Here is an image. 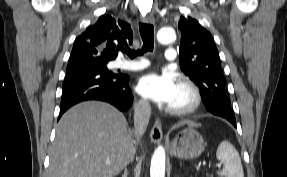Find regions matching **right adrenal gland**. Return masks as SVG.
Returning a JSON list of instances; mask_svg holds the SVG:
<instances>
[{
    "label": "right adrenal gland",
    "instance_id": "obj_1",
    "mask_svg": "<svg viewBox=\"0 0 287 177\" xmlns=\"http://www.w3.org/2000/svg\"><path fill=\"white\" fill-rule=\"evenodd\" d=\"M128 175H129V172H128L127 168H125L122 177H128Z\"/></svg>",
    "mask_w": 287,
    "mask_h": 177
}]
</instances>
